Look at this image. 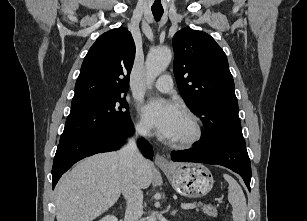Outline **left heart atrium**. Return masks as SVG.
Masks as SVG:
<instances>
[{
    "label": "left heart atrium",
    "mask_w": 307,
    "mask_h": 221,
    "mask_svg": "<svg viewBox=\"0 0 307 221\" xmlns=\"http://www.w3.org/2000/svg\"><path fill=\"white\" fill-rule=\"evenodd\" d=\"M142 113L146 122L167 139L174 138L183 117V113L177 105L163 100L148 102L143 107Z\"/></svg>",
    "instance_id": "39dd6f15"
}]
</instances>
